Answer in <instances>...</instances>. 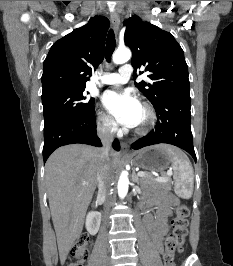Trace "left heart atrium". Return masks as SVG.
<instances>
[{"label":"left heart atrium","mask_w":233,"mask_h":266,"mask_svg":"<svg viewBox=\"0 0 233 266\" xmlns=\"http://www.w3.org/2000/svg\"><path fill=\"white\" fill-rule=\"evenodd\" d=\"M104 104L120 124L127 127L137 126L141 104L131 92L108 91L104 95Z\"/></svg>","instance_id":"obj_1"}]
</instances>
